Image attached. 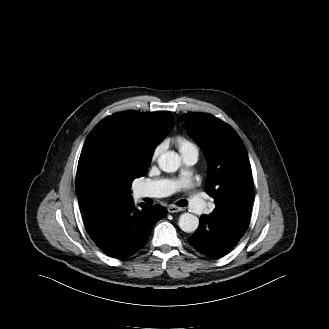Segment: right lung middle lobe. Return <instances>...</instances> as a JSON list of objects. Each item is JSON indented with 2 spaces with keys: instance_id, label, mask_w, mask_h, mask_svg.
<instances>
[{
  "instance_id": "1",
  "label": "right lung middle lobe",
  "mask_w": 329,
  "mask_h": 329,
  "mask_svg": "<svg viewBox=\"0 0 329 329\" xmlns=\"http://www.w3.org/2000/svg\"><path fill=\"white\" fill-rule=\"evenodd\" d=\"M141 162L146 164L147 170L151 158L137 148L125 147L120 151L119 167L132 180L139 177L135 169L136 165ZM114 184L115 179L113 176L98 170L92 171L86 181L89 191L98 196L110 194L114 188Z\"/></svg>"
}]
</instances>
